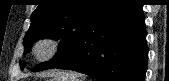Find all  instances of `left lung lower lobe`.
I'll list each match as a JSON object with an SVG mask.
<instances>
[{
    "label": "left lung lower lobe",
    "instance_id": "obj_1",
    "mask_svg": "<svg viewBox=\"0 0 169 81\" xmlns=\"http://www.w3.org/2000/svg\"><path fill=\"white\" fill-rule=\"evenodd\" d=\"M140 0H113L85 29L71 56L55 68L100 81H144L148 48Z\"/></svg>",
    "mask_w": 169,
    "mask_h": 81
}]
</instances>
